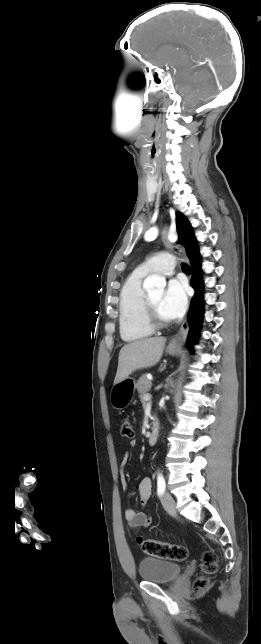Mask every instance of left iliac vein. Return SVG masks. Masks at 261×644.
Instances as JSON below:
<instances>
[{
    "instance_id": "4c4485c4",
    "label": "left iliac vein",
    "mask_w": 261,
    "mask_h": 644,
    "mask_svg": "<svg viewBox=\"0 0 261 644\" xmlns=\"http://www.w3.org/2000/svg\"><path fill=\"white\" fill-rule=\"evenodd\" d=\"M161 503H162V505H163L164 509H165L167 512H169V513H171V514H175V513H176V502H175L174 498L171 496V494H170V493L165 492V493L161 496Z\"/></svg>"
}]
</instances>
